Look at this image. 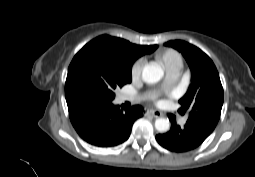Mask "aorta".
<instances>
[{
	"mask_svg": "<svg viewBox=\"0 0 255 177\" xmlns=\"http://www.w3.org/2000/svg\"><path fill=\"white\" fill-rule=\"evenodd\" d=\"M164 72L161 67L149 64L143 68L142 78L146 83H156L163 77ZM155 128L159 132H167L170 129V122L166 118H158L155 121Z\"/></svg>",
	"mask_w": 255,
	"mask_h": 177,
	"instance_id": "1",
	"label": "aorta"
}]
</instances>
